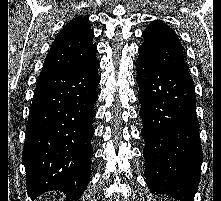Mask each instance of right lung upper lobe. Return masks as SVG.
Wrapping results in <instances>:
<instances>
[{"instance_id":"obj_1","label":"right lung upper lobe","mask_w":221,"mask_h":201,"mask_svg":"<svg viewBox=\"0 0 221 201\" xmlns=\"http://www.w3.org/2000/svg\"><path fill=\"white\" fill-rule=\"evenodd\" d=\"M94 33L85 17H77L66 24L55 38L42 70L81 71L98 64Z\"/></svg>"}]
</instances>
